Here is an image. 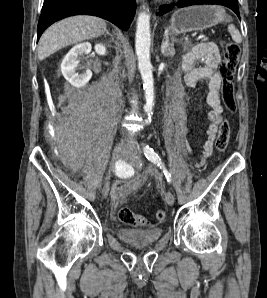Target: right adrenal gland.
I'll use <instances>...</instances> for the list:
<instances>
[{
  "label": "right adrenal gland",
  "mask_w": 267,
  "mask_h": 298,
  "mask_svg": "<svg viewBox=\"0 0 267 298\" xmlns=\"http://www.w3.org/2000/svg\"><path fill=\"white\" fill-rule=\"evenodd\" d=\"M104 35H105V36H106V35H109V36H111V37L113 38V36L111 35V33H109L108 30H106V33H105Z\"/></svg>",
  "instance_id": "1"
}]
</instances>
